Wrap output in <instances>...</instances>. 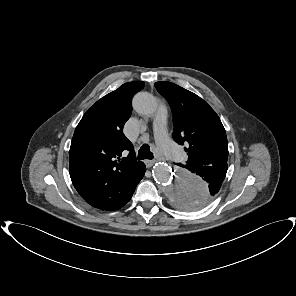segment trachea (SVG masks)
Returning <instances> with one entry per match:
<instances>
[{
  "label": "trachea",
  "instance_id": "obj_1",
  "mask_svg": "<svg viewBox=\"0 0 296 296\" xmlns=\"http://www.w3.org/2000/svg\"><path fill=\"white\" fill-rule=\"evenodd\" d=\"M153 153L148 144H143L138 151V160L153 159Z\"/></svg>",
  "mask_w": 296,
  "mask_h": 296
}]
</instances>
